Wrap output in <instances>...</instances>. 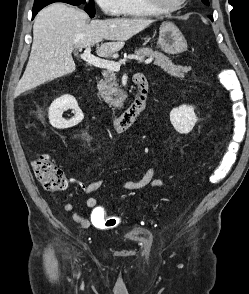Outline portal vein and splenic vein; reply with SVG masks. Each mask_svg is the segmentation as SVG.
<instances>
[{
    "label": "portal vein and splenic vein",
    "instance_id": "1",
    "mask_svg": "<svg viewBox=\"0 0 249 294\" xmlns=\"http://www.w3.org/2000/svg\"><path fill=\"white\" fill-rule=\"evenodd\" d=\"M80 57H81V59H83L87 63H90L96 67L106 68V69L113 70V71H119L121 64L126 62V60H121L119 62H115V61L105 60V59L95 57L94 55L91 54L90 47H87L85 49L84 53H82L80 55ZM137 59L140 62H144L145 64H150L153 61V58H149V59L144 60V58L138 57Z\"/></svg>",
    "mask_w": 249,
    "mask_h": 294
}]
</instances>
